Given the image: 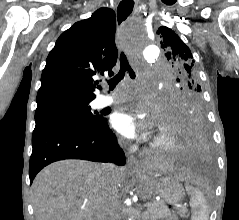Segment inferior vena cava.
I'll return each instance as SVG.
<instances>
[{
  "instance_id": "inferior-vena-cava-1",
  "label": "inferior vena cava",
  "mask_w": 239,
  "mask_h": 220,
  "mask_svg": "<svg viewBox=\"0 0 239 220\" xmlns=\"http://www.w3.org/2000/svg\"><path fill=\"white\" fill-rule=\"evenodd\" d=\"M115 169H116V167L112 163H108V164L104 165V167H103L105 177H106V185L110 188V190L116 189V185L113 181V173H114ZM106 215L109 218L108 220H113L111 215L108 213V210H106Z\"/></svg>"
}]
</instances>
